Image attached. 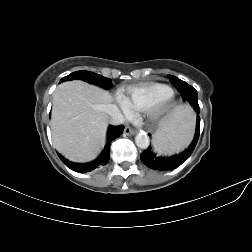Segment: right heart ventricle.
<instances>
[{"mask_svg":"<svg viewBox=\"0 0 252 252\" xmlns=\"http://www.w3.org/2000/svg\"><path fill=\"white\" fill-rule=\"evenodd\" d=\"M119 97L126 100L131 111H144L153 102L172 95V89L162 83H143L120 88Z\"/></svg>","mask_w":252,"mask_h":252,"instance_id":"1","label":"right heart ventricle"}]
</instances>
